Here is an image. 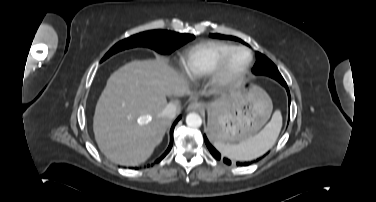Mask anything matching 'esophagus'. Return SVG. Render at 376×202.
<instances>
[{
	"label": "esophagus",
	"instance_id": "obj_1",
	"mask_svg": "<svg viewBox=\"0 0 376 202\" xmlns=\"http://www.w3.org/2000/svg\"><path fill=\"white\" fill-rule=\"evenodd\" d=\"M202 109H203V105L196 101L191 102L188 106V110L190 111H200Z\"/></svg>",
	"mask_w": 376,
	"mask_h": 202
}]
</instances>
